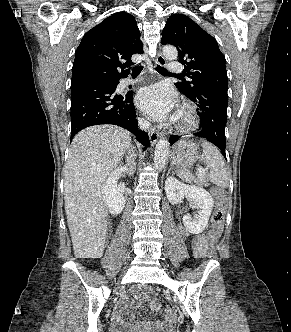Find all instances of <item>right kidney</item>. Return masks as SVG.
I'll return each instance as SVG.
<instances>
[{
    "label": "right kidney",
    "instance_id": "1",
    "mask_svg": "<svg viewBox=\"0 0 291 332\" xmlns=\"http://www.w3.org/2000/svg\"><path fill=\"white\" fill-rule=\"evenodd\" d=\"M125 170L126 167H118L112 172L103 187L104 200L112 215L120 214L125 207L126 199L117 186L118 179Z\"/></svg>",
    "mask_w": 291,
    "mask_h": 332
}]
</instances>
